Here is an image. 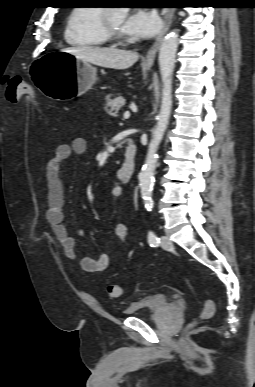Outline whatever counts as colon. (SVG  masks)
I'll use <instances>...</instances> for the list:
<instances>
[{
    "mask_svg": "<svg viewBox=\"0 0 255 387\" xmlns=\"http://www.w3.org/2000/svg\"><path fill=\"white\" fill-rule=\"evenodd\" d=\"M22 95H28L31 98H35V93L32 87L21 80L20 78L12 77L6 83L5 98L8 103L14 104L19 101ZM107 292L111 298H119L122 294V289L117 284H109L107 286ZM215 312V304L213 300L206 299L204 301L203 310L200 313L199 319L193 321L189 326H194L199 321L210 319Z\"/></svg>",
    "mask_w": 255,
    "mask_h": 387,
    "instance_id": "obj_1",
    "label": "colon"
}]
</instances>
